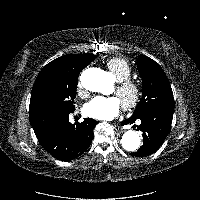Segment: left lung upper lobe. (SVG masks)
<instances>
[{
  "label": "left lung upper lobe",
  "mask_w": 200,
  "mask_h": 200,
  "mask_svg": "<svg viewBox=\"0 0 200 200\" xmlns=\"http://www.w3.org/2000/svg\"><path fill=\"white\" fill-rule=\"evenodd\" d=\"M138 71L142 78V98L131 118H136L148 110L173 115L174 97L163 69L154 60L138 58Z\"/></svg>",
  "instance_id": "1"
}]
</instances>
